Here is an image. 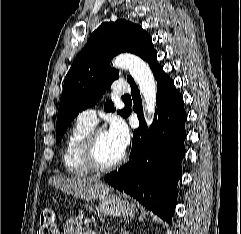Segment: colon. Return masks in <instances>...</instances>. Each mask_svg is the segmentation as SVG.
<instances>
[{
    "instance_id": "colon-1",
    "label": "colon",
    "mask_w": 241,
    "mask_h": 234,
    "mask_svg": "<svg viewBox=\"0 0 241 234\" xmlns=\"http://www.w3.org/2000/svg\"><path fill=\"white\" fill-rule=\"evenodd\" d=\"M37 234H57L55 215L51 209H45L41 213Z\"/></svg>"
}]
</instances>
